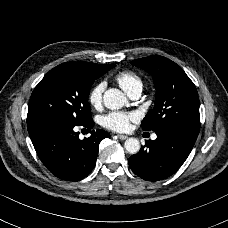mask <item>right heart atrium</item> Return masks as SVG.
<instances>
[{
    "label": "right heart atrium",
    "mask_w": 228,
    "mask_h": 228,
    "mask_svg": "<svg viewBox=\"0 0 228 228\" xmlns=\"http://www.w3.org/2000/svg\"><path fill=\"white\" fill-rule=\"evenodd\" d=\"M106 88V82L104 80L96 82L88 92V101L91 106L98 108L103 101V93Z\"/></svg>",
    "instance_id": "obj_1"
}]
</instances>
